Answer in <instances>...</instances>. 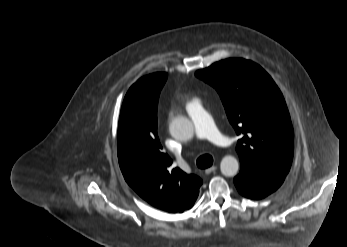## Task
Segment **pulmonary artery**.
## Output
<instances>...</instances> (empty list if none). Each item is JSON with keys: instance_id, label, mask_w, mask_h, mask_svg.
<instances>
[{"instance_id": "1", "label": "pulmonary artery", "mask_w": 347, "mask_h": 247, "mask_svg": "<svg viewBox=\"0 0 347 247\" xmlns=\"http://www.w3.org/2000/svg\"><path fill=\"white\" fill-rule=\"evenodd\" d=\"M186 111L194 123L198 139H208L219 146L229 145V139L220 133L199 99L190 100L186 105Z\"/></svg>"}]
</instances>
